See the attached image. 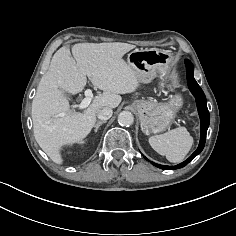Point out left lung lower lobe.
I'll list each match as a JSON object with an SVG mask.
<instances>
[{
  "label": "left lung lower lobe",
  "mask_w": 236,
  "mask_h": 236,
  "mask_svg": "<svg viewBox=\"0 0 236 236\" xmlns=\"http://www.w3.org/2000/svg\"><path fill=\"white\" fill-rule=\"evenodd\" d=\"M185 66H186L188 87H189L191 93L196 98V104H197V108H198V112H199V116H200V120H201L200 142H199V146H198L197 150L187 160H185L184 162H182L178 165L165 166V165H159L156 163H152L154 166L161 168V169H165V170H175V169H179V168L186 166L194 157H196L203 150L204 145H205V141H206L207 129H208V126L210 123V115H209V111H208L207 104H206V97H205L204 92L202 91V89L200 88V86L198 85L196 80L194 79L193 64L191 63V61L186 59ZM145 159L148 160L146 157H145Z\"/></svg>",
  "instance_id": "1"
}]
</instances>
